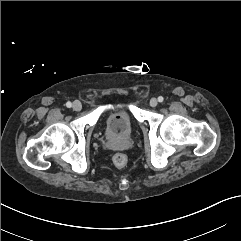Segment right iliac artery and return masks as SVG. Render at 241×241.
I'll use <instances>...</instances> for the list:
<instances>
[{"label":"right iliac artery","mask_w":241,"mask_h":241,"mask_svg":"<svg viewBox=\"0 0 241 241\" xmlns=\"http://www.w3.org/2000/svg\"><path fill=\"white\" fill-rule=\"evenodd\" d=\"M66 106H67L68 108H70V107L72 106V103L68 101V102L66 103Z\"/></svg>","instance_id":"right-iliac-artery-1"}]
</instances>
